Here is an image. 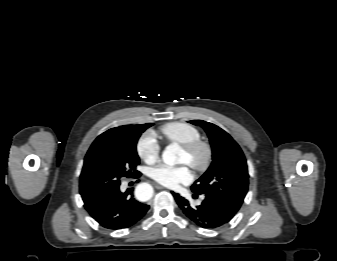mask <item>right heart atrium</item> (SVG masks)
Returning a JSON list of instances; mask_svg holds the SVG:
<instances>
[{
  "label": "right heart atrium",
  "instance_id": "right-heart-atrium-1",
  "mask_svg": "<svg viewBox=\"0 0 337 261\" xmlns=\"http://www.w3.org/2000/svg\"><path fill=\"white\" fill-rule=\"evenodd\" d=\"M137 153L148 164H152L158 160L160 146L152 132H146L140 137L137 143Z\"/></svg>",
  "mask_w": 337,
  "mask_h": 261
}]
</instances>
